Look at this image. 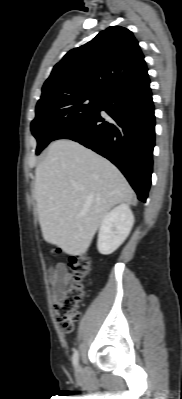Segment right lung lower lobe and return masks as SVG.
Listing matches in <instances>:
<instances>
[{"instance_id": "1", "label": "right lung lower lobe", "mask_w": 182, "mask_h": 399, "mask_svg": "<svg viewBox=\"0 0 182 399\" xmlns=\"http://www.w3.org/2000/svg\"><path fill=\"white\" fill-rule=\"evenodd\" d=\"M154 127L147 78L109 91L94 115L59 132L53 140H74L109 159L127 178L138 199L145 202L151 185Z\"/></svg>"}]
</instances>
